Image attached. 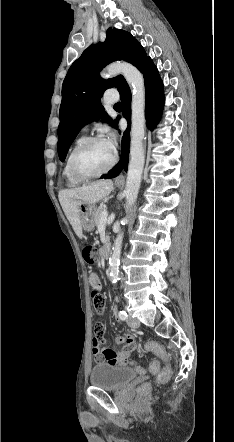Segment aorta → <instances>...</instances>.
<instances>
[{"label":"aorta","mask_w":234,"mask_h":442,"mask_svg":"<svg viewBox=\"0 0 234 442\" xmlns=\"http://www.w3.org/2000/svg\"><path fill=\"white\" fill-rule=\"evenodd\" d=\"M119 73L123 74L132 91L130 159L124 191L127 208H130L137 199L145 163V84L141 72L126 62L110 64L105 68L102 76L108 78ZM123 236V232L117 235L109 259L110 276L113 283L119 279Z\"/></svg>","instance_id":"aorta-1"}]
</instances>
